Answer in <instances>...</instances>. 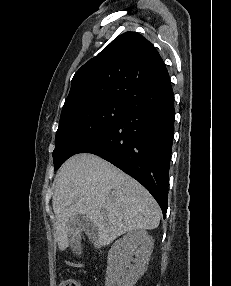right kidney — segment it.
I'll return each instance as SVG.
<instances>
[{
  "mask_svg": "<svg viewBox=\"0 0 231 286\" xmlns=\"http://www.w3.org/2000/svg\"><path fill=\"white\" fill-rule=\"evenodd\" d=\"M153 245V237L145 230L129 232L115 241L108 254L105 286H134L146 269Z\"/></svg>",
  "mask_w": 231,
  "mask_h": 286,
  "instance_id": "right-kidney-1",
  "label": "right kidney"
}]
</instances>
